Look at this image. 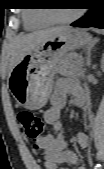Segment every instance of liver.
I'll return each instance as SVG.
<instances>
[{
    "instance_id": "liver-1",
    "label": "liver",
    "mask_w": 104,
    "mask_h": 169,
    "mask_svg": "<svg viewBox=\"0 0 104 169\" xmlns=\"http://www.w3.org/2000/svg\"><path fill=\"white\" fill-rule=\"evenodd\" d=\"M69 29L70 27L68 26H57L19 35L13 44L9 64V75L26 54L40 48L46 41Z\"/></svg>"
}]
</instances>
